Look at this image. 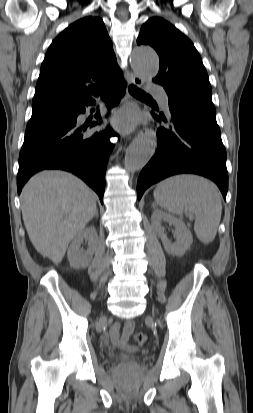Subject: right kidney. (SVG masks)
Segmentation results:
<instances>
[{
	"label": "right kidney",
	"instance_id": "1",
	"mask_svg": "<svg viewBox=\"0 0 253 413\" xmlns=\"http://www.w3.org/2000/svg\"><path fill=\"white\" fill-rule=\"evenodd\" d=\"M83 240H88V249H81ZM98 235L94 226L82 230L70 244L67 252V258L70 266L75 269L86 268L90 264L93 255L97 249Z\"/></svg>",
	"mask_w": 253,
	"mask_h": 413
}]
</instances>
